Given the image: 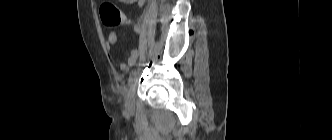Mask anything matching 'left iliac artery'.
Segmentation results:
<instances>
[{
  "label": "left iliac artery",
  "instance_id": "obj_1",
  "mask_svg": "<svg viewBox=\"0 0 332 140\" xmlns=\"http://www.w3.org/2000/svg\"><path fill=\"white\" fill-rule=\"evenodd\" d=\"M137 73H138V70L132 71V73L129 76V80H128L129 84L133 81V79L135 78V76L137 75Z\"/></svg>",
  "mask_w": 332,
  "mask_h": 140
}]
</instances>
